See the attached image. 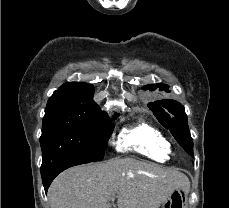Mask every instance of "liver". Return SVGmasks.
I'll list each match as a JSON object with an SVG mask.
<instances>
[{
    "label": "liver",
    "mask_w": 229,
    "mask_h": 208,
    "mask_svg": "<svg viewBox=\"0 0 229 208\" xmlns=\"http://www.w3.org/2000/svg\"><path fill=\"white\" fill-rule=\"evenodd\" d=\"M174 188L190 190L181 172L133 158L84 164L59 174L49 190L51 208H160Z\"/></svg>",
    "instance_id": "obj_1"
}]
</instances>
